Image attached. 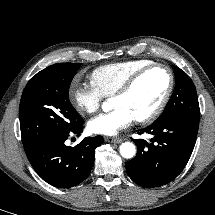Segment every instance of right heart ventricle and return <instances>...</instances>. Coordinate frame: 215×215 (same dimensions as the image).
I'll return each instance as SVG.
<instances>
[{
	"label": "right heart ventricle",
	"instance_id": "obj_1",
	"mask_svg": "<svg viewBox=\"0 0 215 215\" xmlns=\"http://www.w3.org/2000/svg\"><path fill=\"white\" fill-rule=\"evenodd\" d=\"M153 63L138 59L106 64L93 70L91 81L104 97H111L133 74Z\"/></svg>",
	"mask_w": 215,
	"mask_h": 215
}]
</instances>
